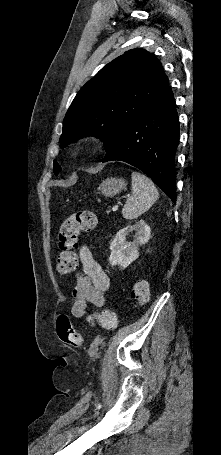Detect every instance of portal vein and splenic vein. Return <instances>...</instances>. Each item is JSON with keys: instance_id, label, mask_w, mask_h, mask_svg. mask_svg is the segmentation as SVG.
Returning <instances> with one entry per match:
<instances>
[{"instance_id": "portal-vein-and-splenic-vein-1", "label": "portal vein and splenic vein", "mask_w": 221, "mask_h": 455, "mask_svg": "<svg viewBox=\"0 0 221 455\" xmlns=\"http://www.w3.org/2000/svg\"><path fill=\"white\" fill-rule=\"evenodd\" d=\"M118 209V205L112 207V211L115 212Z\"/></svg>"}]
</instances>
